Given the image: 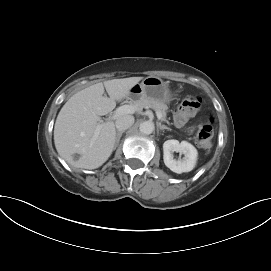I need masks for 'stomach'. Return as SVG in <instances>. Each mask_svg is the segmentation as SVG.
<instances>
[{"instance_id":"obj_1","label":"stomach","mask_w":271,"mask_h":271,"mask_svg":"<svg viewBox=\"0 0 271 271\" xmlns=\"http://www.w3.org/2000/svg\"><path fill=\"white\" fill-rule=\"evenodd\" d=\"M133 101L148 98L162 103H168L173 99V94L168 85L161 78L149 76L142 80L141 83L135 84L127 97Z\"/></svg>"}]
</instances>
